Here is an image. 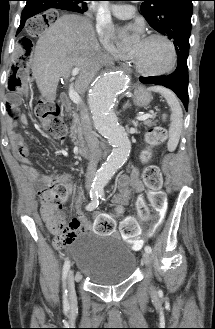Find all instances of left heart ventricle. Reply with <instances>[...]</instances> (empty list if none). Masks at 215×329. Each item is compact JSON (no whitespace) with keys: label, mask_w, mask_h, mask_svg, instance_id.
<instances>
[{"label":"left heart ventricle","mask_w":215,"mask_h":329,"mask_svg":"<svg viewBox=\"0 0 215 329\" xmlns=\"http://www.w3.org/2000/svg\"><path fill=\"white\" fill-rule=\"evenodd\" d=\"M130 54L136 58L142 68L148 71L163 70L172 62L169 45L160 39L137 40L133 43Z\"/></svg>","instance_id":"left-heart-ventricle-1"}]
</instances>
